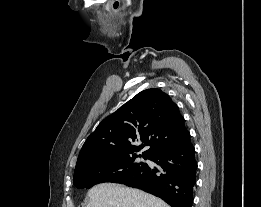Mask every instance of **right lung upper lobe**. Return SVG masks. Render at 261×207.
Instances as JSON below:
<instances>
[{
  "instance_id": "1",
  "label": "right lung upper lobe",
  "mask_w": 261,
  "mask_h": 207,
  "mask_svg": "<svg viewBox=\"0 0 261 207\" xmlns=\"http://www.w3.org/2000/svg\"><path fill=\"white\" fill-rule=\"evenodd\" d=\"M189 138L178 106L160 89H147L97 126L82 146L75 169L102 159L134 155L146 145L150 147L142 155L151 157ZM135 141L143 144L134 146Z\"/></svg>"
}]
</instances>
